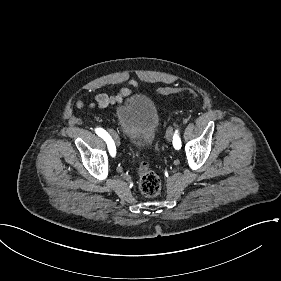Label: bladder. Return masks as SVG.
Here are the masks:
<instances>
[{"label":"bladder","instance_id":"bladder-1","mask_svg":"<svg viewBox=\"0 0 281 281\" xmlns=\"http://www.w3.org/2000/svg\"><path fill=\"white\" fill-rule=\"evenodd\" d=\"M115 121L122 134L137 149H146L158 138L161 117L155 101L146 93L119 101Z\"/></svg>","mask_w":281,"mask_h":281}]
</instances>
